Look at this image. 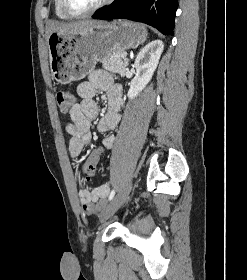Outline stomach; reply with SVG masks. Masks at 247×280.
Masks as SVG:
<instances>
[{
	"label": "stomach",
	"mask_w": 247,
	"mask_h": 280,
	"mask_svg": "<svg viewBox=\"0 0 247 280\" xmlns=\"http://www.w3.org/2000/svg\"><path fill=\"white\" fill-rule=\"evenodd\" d=\"M146 37L143 25L127 20L103 22L82 33H50L47 41L52 76L61 84L80 80L97 62L138 47Z\"/></svg>",
	"instance_id": "0dacf381"
}]
</instances>
